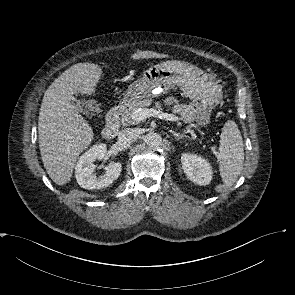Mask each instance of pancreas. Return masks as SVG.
Masks as SVG:
<instances>
[{"label":"pancreas","mask_w":295,"mask_h":295,"mask_svg":"<svg viewBox=\"0 0 295 295\" xmlns=\"http://www.w3.org/2000/svg\"><path fill=\"white\" fill-rule=\"evenodd\" d=\"M151 104L152 99L139 100L130 104L121 114V122L123 124L137 123L132 118L133 113L139 108L147 109V107H149ZM155 105L156 108H161L160 102H156ZM173 112L179 114L185 123L193 121L196 117V109L194 108L193 104H177L173 107Z\"/></svg>","instance_id":"pancreas-1"}]
</instances>
